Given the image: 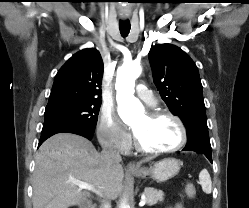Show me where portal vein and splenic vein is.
<instances>
[{"label": "portal vein and splenic vein", "mask_w": 249, "mask_h": 208, "mask_svg": "<svg viewBox=\"0 0 249 208\" xmlns=\"http://www.w3.org/2000/svg\"><path fill=\"white\" fill-rule=\"evenodd\" d=\"M73 184L77 185L79 188L81 189H86V190H89V191H93L97 194H99L94 188L92 185L86 183V182H82V181H78V180H75V181H72ZM146 203V200L145 198H142V200L140 201L139 203V206L142 207L144 206Z\"/></svg>", "instance_id": "obj_1"}]
</instances>
